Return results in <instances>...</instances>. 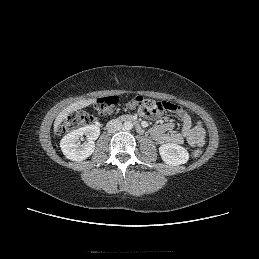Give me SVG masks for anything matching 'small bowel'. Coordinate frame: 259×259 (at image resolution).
<instances>
[{
    "label": "small bowel",
    "mask_w": 259,
    "mask_h": 259,
    "mask_svg": "<svg viewBox=\"0 0 259 259\" xmlns=\"http://www.w3.org/2000/svg\"><path fill=\"white\" fill-rule=\"evenodd\" d=\"M182 122V129L175 131L171 122L159 124L151 129L152 138L159 144L187 142L192 147H201L205 143V129L200 122H193L189 113L181 106L173 110ZM140 113L144 115L141 111Z\"/></svg>",
    "instance_id": "small-bowel-1"
}]
</instances>
